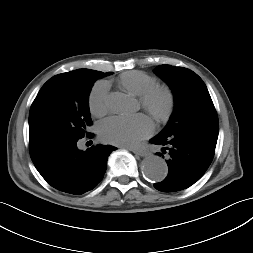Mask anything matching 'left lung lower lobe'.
Segmentation results:
<instances>
[{"instance_id":"obj_1","label":"left lung lower lobe","mask_w":253,"mask_h":253,"mask_svg":"<svg viewBox=\"0 0 253 253\" xmlns=\"http://www.w3.org/2000/svg\"><path fill=\"white\" fill-rule=\"evenodd\" d=\"M219 131L208 125L180 131L169 136L151 139V143L164 146L169 152L168 176L154 187L163 192H174L188 188L198 181L208 169L215 152ZM162 156V153H157Z\"/></svg>"}]
</instances>
